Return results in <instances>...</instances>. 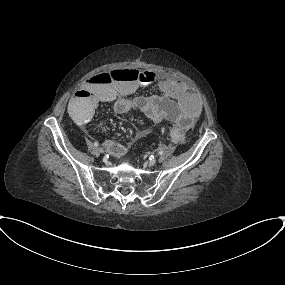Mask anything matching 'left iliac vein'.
Masks as SVG:
<instances>
[{
    "label": "left iliac vein",
    "mask_w": 285,
    "mask_h": 285,
    "mask_svg": "<svg viewBox=\"0 0 285 285\" xmlns=\"http://www.w3.org/2000/svg\"><path fill=\"white\" fill-rule=\"evenodd\" d=\"M148 163H149V165L153 166V165L156 164V160L155 159H150Z\"/></svg>",
    "instance_id": "1"
}]
</instances>
